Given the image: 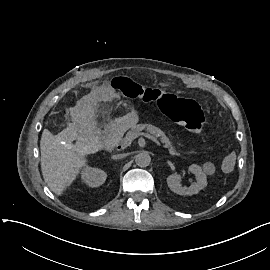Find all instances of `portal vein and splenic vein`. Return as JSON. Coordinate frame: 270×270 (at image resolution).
I'll return each instance as SVG.
<instances>
[{"instance_id":"obj_1","label":"portal vein and splenic vein","mask_w":270,"mask_h":270,"mask_svg":"<svg viewBox=\"0 0 270 270\" xmlns=\"http://www.w3.org/2000/svg\"><path fill=\"white\" fill-rule=\"evenodd\" d=\"M142 135L148 139H151L153 142H156V145H160V142H157L158 139L154 135L150 136L147 132H144Z\"/></svg>"}]
</instances>
